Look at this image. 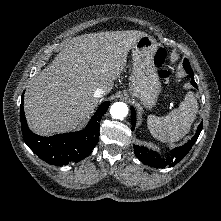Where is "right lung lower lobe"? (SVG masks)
Returning a JSON list of instances; mask_svg holds the SVG:
<instances>
[{
  "label": "right lung lower lobe",
  "mask_w": 221,
  "mask_h": 221,
  "mask_svg": "<svg viewBox=\"0 0 221 221\" xmlns=\"http://www.w3.org/2000/svg\"><path fill=\"white\" fill-rule=\"evenodd\" d=\"M21 100L20 120L25 143L39 158L55 166L79 162L91 154L98 143L99 122L110 105L109 101L102 103L83 131L42 137L28 128L23 109V96Z\"/></svg>",
  "instance_id": "obj_1"
}]
</instances>
